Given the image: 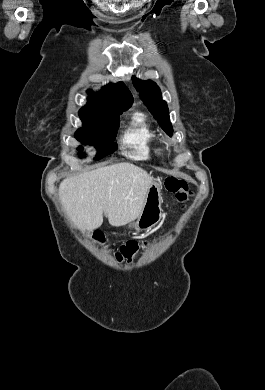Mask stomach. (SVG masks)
<instances>
[{
  "mask_svg": "<svg viewBox=\"0 0 265 390\" xmlns=\"http://www.w3.org/2000/svg\"><path fill=\"white\" fill-rule=\"evenodd\" d=\"M162 187L158 182H153L146 195V199L136 222L130 223L129 227L137 231L149 230L156 226L162 217Z\"/></svg>",
  "mask_w": 265,
  "mask_h": 390,
  "instance_id": "stomach-1",
  "label": "stomach"
}]
</instances>
